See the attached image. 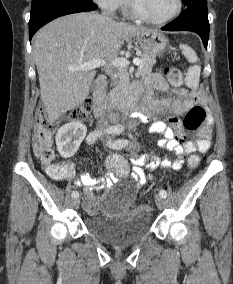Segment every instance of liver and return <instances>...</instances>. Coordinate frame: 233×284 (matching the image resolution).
<instances>
[{
	"label": "liver",
	"instance_id": "liver-1",
	"mask_svg": "<svg viewBox=\"0 0 233 284\" xmlns=\"http://www.w3.org/2000/svg\"><path fill=\"white\" fill-rule=\"evenodd\" d=\"M146 30L97 13L67 15L41 28L35 35L33 55L48 119L56 121L89 94L95 73L70 71L68 66L92 59L112 61L124 41Z\"/></svg>",
	"mask_w": 233,
	"mask_h": 284
}]
</instances>
